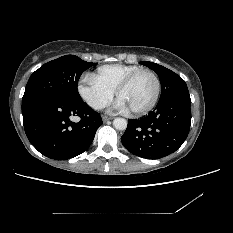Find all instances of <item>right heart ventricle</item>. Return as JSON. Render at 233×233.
<instances>
[{
  "instance_id": "e07e8e85",
  "label": "right heart ventricle",
  "mask_w": 233,
  "mask_h": 233,
  "mask_svg": "<svg viewBox=\"0 0 233 233\" xmlns=\"http://www.w3.org/2000/svg\"><path fill=\"white\" fill-rule=\"evenodd\" d=\"M139 69L142 68L137 65H106L100 67L96 73L91 74L90 78L111 92H115L127 76Z\"/></svg>"
}]
</instances>
